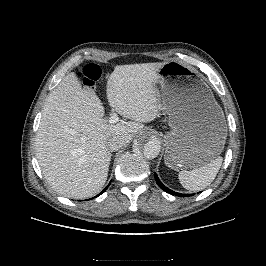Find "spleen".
Masks as SVG:
<instances>
[{
  "mask_svg": "<svg viewBox=\"0 0 266 266\" xmlns=\"http://www.w3.org/2000/svg\"><path fill=\"white\" fill-rule=\"evenodd\" d=\"M222 161V157H217L199 168H195L190 171H180L178 178L181 185L190 191L203 190L215 179L222 165Z\"/></svg>",
  "mask_w": 266,
  "mask_h": 266,
  "instance_id": "1",
  "label": "spleen"
}]
</instances>
